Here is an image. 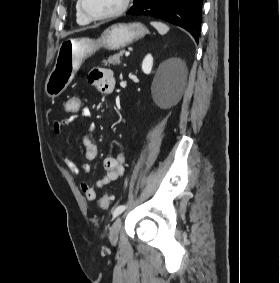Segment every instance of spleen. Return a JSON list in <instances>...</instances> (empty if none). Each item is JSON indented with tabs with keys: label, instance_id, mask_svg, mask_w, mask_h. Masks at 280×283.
<instances>
[{
	"label": "spleen",
	"instance_id": "spleen-1",
	"mask_svg": "<svg viewBox=\"0 0 280 283\" xmlns=\"http://www.w3.org/2000/svg\"><path fill=\"white\" fill-rule=\"evenodd\" d=\"M151 25L158 31L159 34L164 35L169 31V26L157 21H152Z\"/></svg>",
	"mask_w": 280,
	"mask_h": 283
}]
</instances>
